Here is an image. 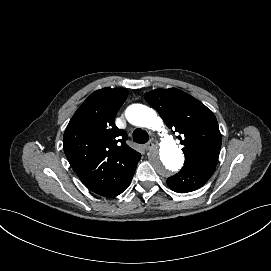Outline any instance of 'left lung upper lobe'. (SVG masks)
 Here are the masks:
<instances>
[{"mask_svg": "<svg viewBox=\"0 0 271 271\" xmlns=\"http://www.w3.org/2000/svg\"><path fill=\"white\" fill-rule=\"evenodd\" d=\"M165 124L178 136L185 154L184 167H216L221 149V134L215 115L191 95L176 89H155L145 94Z\"/></svg>", "mask_w": 271, "mask_h": 271, "instance_id": "1", "label": "left lung upper lobe"}]
</instances>
